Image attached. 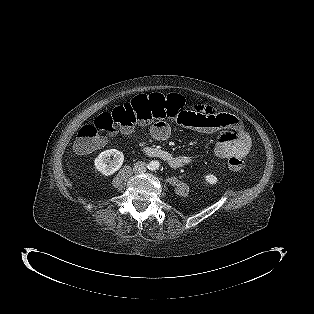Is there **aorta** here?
I'll list each match as a JSON object with an SVG mask.
<instances>
[{
    "label": "aorta",
    "mask_w": 314,
    "mask_h": 314,
    "mask_svg": "<svg viewBox=\"0 0 314 314\" xmlns=\"http://www.w3.org/2000/svg\"><path fill=\"white\" fill-rule=\"evenodd\" d=\"M150 165H151V168L154 169V170L158 169L159 166H160L158 161H152Z\"/></svg>",
    "instance_id": "obj_1"
}]
</instances>
